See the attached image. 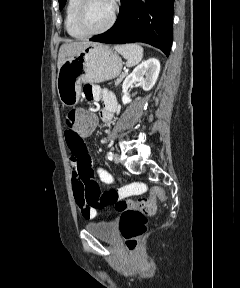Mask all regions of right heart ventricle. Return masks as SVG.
<instances>
[{"mask_svg": "<svg viewBox=\"0 0 240 288\" xmlns=\"http://www.w3.org/2000/svg\"><path fill=\"white\" fill-rule=\"evenodd\" d=\"M80 0H68L65 9V29L67 33L75 39H83L86 37L75 24V15L78 8Z\"/></svg>", "mask_w": 240, "mask_h": 288, "instance_id": "1", "label": "right heart ventricle"}]
</instances>
